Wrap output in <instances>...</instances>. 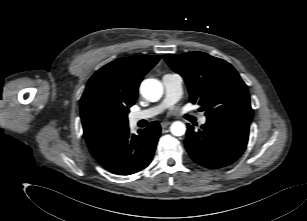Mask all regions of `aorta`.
I'll list each match as a JSON object with an SVG mask.
<instances>
[{
	"label": "aorta",
	"mask_w": 307,
	"mask_h": 221,
	"mask_svg": "<svg viewBox=\"0 0 307 221\" xmlns=\"http://www.w3.org/2000/svg\"><path fill=\"white\" fill-rule=\"evenodd\" d=\"M140 92L148 101L156 102L162 97L163 86L156 79H146L141 83ZM170 131L174 136H182L186 132V126L180 121H175L170 126Z\"/></svg>",
	"instance_id": "obj_1"
}]
</instances>
